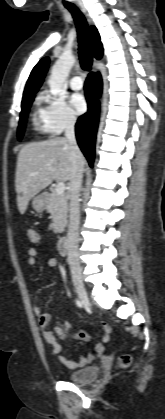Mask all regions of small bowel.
Listing matches in <instances>:
<instances>
[{
	"mask_svg": "<svg viewBox=\"0 0 165 419\" xmlns=\"http://www.w3.org/2000/svg\"><path fill=\"white\" fill-rule=\"evenodd\" d=\"M40 241V238L38 242ZM36 242V243H38ZM38 259V250L34 247L30 248L28 251V264L30 266H35ZM48 265L51 267H57L59 265L58 260L51 258L48 260ZM34 313L38 317V321L40 325L47 327L52 323V319L48 313L43 312L42 307L39 305H35L33 307ZM43 339L46 343L50 344L52 346V351L54 354L59 355L62 350L63 346L60 344L57 339L54 337V335L51 333V331L48 328H45L42 332ZM72 335L80 340L87 341L91 338V335L83 330H74L72 331ZM108 337L105 336L102 338V340L95 345V351H101L104 348L105 343L107 342ZM95 354L93 352H89L85 354L82 357H79L76 360H69L64 357H60V362L66 366L67 368L75 369L79 367H83L89 363H91L94 360Z\"/></svg>",
	"mask_w": 165,
	"mask_h": 419,
	"instance_id": "small-bowel-1",
	"label": "small bowel"
}]
</instances>
